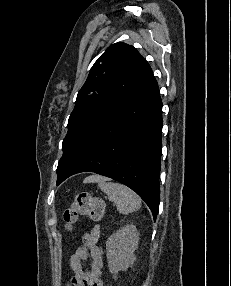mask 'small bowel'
Instances as JSON below:
<instances>
[{
  "instance_id": "obj_1",
  "label": "small bowel",
  "mask_w": 231,
  "mask_h": 286,
  "mask_svg": "<svg viewBox=\"0 0 231 286\" xmlns=\"http://www.w3.org/2000/svg\"><path fill=\"white\" fill-rule=\"evenodd\" d=\"M100 227L95 225L82 237V242L70 257L73 276L68 286H103L101 279L103 260L97 242L100 238ZM91 259L88 269L84 270L83 262Z\"/></svg>"
}]
</instances>
